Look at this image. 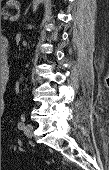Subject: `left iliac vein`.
Listing matches in <instances>:
<instances>
[{
    "mask_svg": "<svg viewBox=\"0 0 109 170\" xmlns=\"http://www.w3.org/2000/svg\"><path fill=\"white\" fill-rule=\"evenodd\" d=\"M24 134L28 137L31 138L33 135V126L31 124H27L24 128H23Z\"/></svg>",
    "mask_w": 109,
    "mask_h": 170,
    "instance_id": "4c4485c4",
    "label": "left iliac vein"
}]
</instances>
